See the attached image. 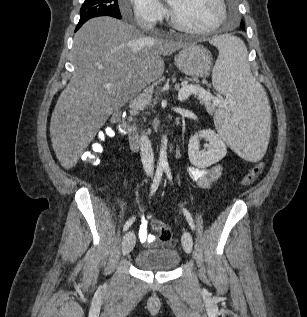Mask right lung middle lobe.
I'll list each match as a JSON object with an SVG mask.
<instances>
[{"mask_svg":"<svg viewBox=\"0 0 307 317\" xmlns=\"http://www.w3.org/2000/svg\"><path fill=\"white\" fill-rule=\"evenodd\" d=\"M97 16H112L121 19L118 0H85L80 9L79 23Z\"/></svg>","mask_w":307,"mask_h":317,"instance_id":"dd1d6c3e","label":"right lung middle lobe"}]
</instances>
